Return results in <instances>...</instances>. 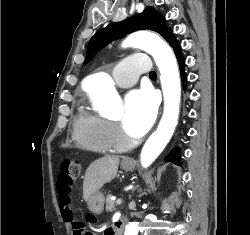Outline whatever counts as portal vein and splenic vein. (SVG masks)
I'll return each instance as SVG.
<instances>
[{
    "mask_svg": "<svg viewBox=\"0 0 250 235\" xmlns=\"http://www.w3.org/2000/svg\"><path fill=\"white\" fill-rule=\"evenodd\" d=\"M121 203H122V200H121V199H117V200H116V204H117V205H120Z\"/></svg>",
    "mask_w": 250,
    "mask_h": 235,
    "instance_id": "obj_1",
    "label": "portal vein and splenic vein"
}]
</instances>
